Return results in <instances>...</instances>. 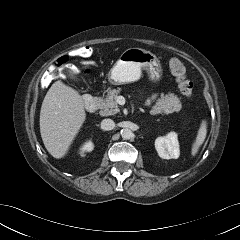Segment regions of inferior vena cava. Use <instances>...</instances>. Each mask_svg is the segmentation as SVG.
I'll return each mask as SVG.
<instances>
[{
  "instance_id": "obj_1",
  "label": "inferior vena cava",
  "mask_w": 240,
  "mask_h": 240,
  "mask_svg": "<svg viewBox=\"0 0 240 240\" xmlns=\"http://www.w3.org/2000/svg\"><path fill=\"white\" fill-rule=\"evenodd\" d=\"M101 128L103 130H112L115 128V123L112 119H103L101 122Z\"/></svg>"
}]
</instances>
